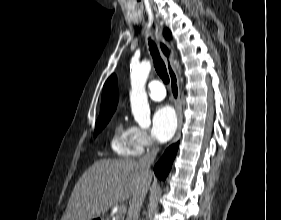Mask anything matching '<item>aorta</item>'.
<instances>
[{
    "mask_svg": "<svg viewBox=\"0 0 281 220\" xmlns=\"http://www.w3.org/2000/svg\"><path fill=\"white\" fill-rule=\"evenodd\" d=\"M150 70L151 63L144 60L133 66L130 74V103L132 114L134 116V120L144 128L149 127L151 123L150 107L145 90V84Z\"/></svg>",
    "mask_w": 281,
    "mask_h": 220,
    "instance_id": "obj_1",
    "label": "aorta"
}]
</instances>
